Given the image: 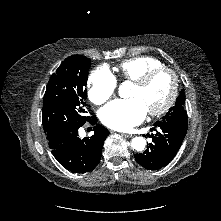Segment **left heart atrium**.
I'll return each instance as SVG.
<instances>
[{
	"instance_id": "left-heart-atrium-1",
	"label": "left heart atrium",
	"mask_w": 221,
	"mask_h": 221,
	"mask_svg": "<svg viewBox=\"0 0 221 221\" xmlns=\"http://www.w3.org/2000/svg\"><path fill=\"white\" fill-rule=\"evenodd\" d=\"M147 113L144 103L139 98L115 100L99 112L101 122L114 130L128 131L141 123Z\"/></svg>"
}]
</instances>
